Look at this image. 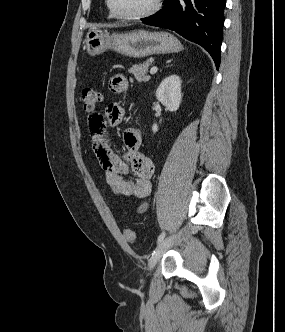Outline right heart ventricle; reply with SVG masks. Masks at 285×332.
<instances>
[{
  "mask_svg": "<svg viewBox=\"0 0 285 332\" xmlns=\"http://www.w3.org/2000/svg\"><path fill=\"white\" fill-rule=\"evenodd\" d=\"M108 16H109L110 18L113 17V16L110 14V12H109Z\"/></svg>",
  "mask_w": 285,
  "mask_h": 332,
  "instance_id": "right-heart-ventricle-1",
  "label": "right heart ventricle"
}]
</instances>
